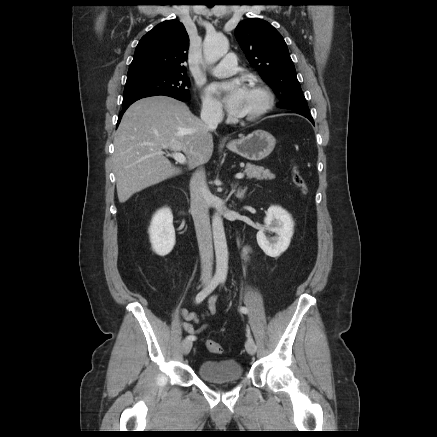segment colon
<instances>
[{
	"label": "colon",
	"instance_id": "obj_1",
	"mask_svg": "<svg viewBox=\"0 0 437 437\" xmlns=\"http://www.w3.org/2000/svg\"><path fill=\"white\" fill-rule=\"evenodd\" d=\"M291 178H292L293 184L303 194H307V192H308L307 184H306L305 179L302 176L301 172L299 171V169L296 166H293V168H292ZM206 348L211 353L219 354V353L222 352V346L218 342H216L214 340H208L206 342Z\"/></svg>",
	"mask_w": 437,
	"mask_h": 437
}]
</instances>
